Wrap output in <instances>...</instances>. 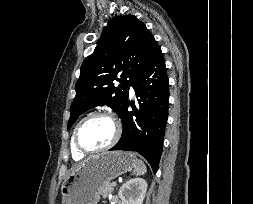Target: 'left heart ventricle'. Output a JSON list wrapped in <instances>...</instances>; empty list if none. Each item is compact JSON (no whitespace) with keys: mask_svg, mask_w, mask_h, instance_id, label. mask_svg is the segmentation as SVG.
Returning a JSON list of instances; mask_svg holds the SVG:
<instances>
[{"mask_svg":"<svg viewBox=\"0 0 253 204\" xmlns=\"http://www.w3.org/2000/svg\"><path fill=\"white\" fill-rule=\"evenodd\" d=\"M115 134L113 122L104 117H96L86 122L79 133L80 144L89 150L107 145Z\"/></svg>","mask_w":253,"mask_h":204,"instance_id":"b2bd125f","label":"left heart ventricle"}]
</instances>
